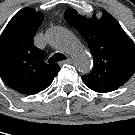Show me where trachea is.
<instances>
[{"label":"trachea","mask_w":135,"mask_h":135,"mask_svg":"<svg viewBox=\"0 0 135 135\" xmlns=\"http://www.w3.org/2000/svg\"><path fill=\"white\" fill-rule=\"evenodd\" d=\"M62 60H66L65 55H63L62 53H55L49 58L48 62L52 63V62H58Z\"/></svg>","instance_id":"1"}]
</instances>
